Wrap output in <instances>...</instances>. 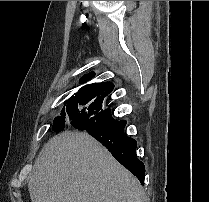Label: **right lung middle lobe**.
<instances>
[{"instance_id":"1","label":"right lung middle lobe","mask_w":209,"mask_h":202,"mask_svg":"<svg viewBox=\"0 0 209 202\" xmlns=\"http://www.w3.org/2000/svg\"><path fill=\"white\" fill-rule=\"evenodd\" d=\"M93 76H84L81 79V82H85L89 79H91ZM81 90V89H80ZM80 90L76 93L75 96H72L68 101H67V114L69 115L70 119L76 116L80 112ZM65 108L62 110L61 117H57L54 121L53 124V130L56 132H60L64 129V124H65Z\"/></svg>"}]
</instances>
